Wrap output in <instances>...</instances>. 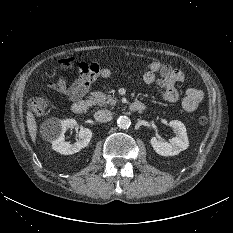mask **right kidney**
<instances>
[{
    "label": "right kidney",
    "instance_id": "ca27d5eb",
    "mask_svg": "<svg viewBox=\"0 0 233 233\" xmlns=\"http://www.w3.org/2000/svg\"><path fill=\"white\" fill-rule=\"evenodd\" d=\"M76 125L75 119L59 120L51 118L43 123V136L52 143L53 150L64 155L74 154L85 148L92 138L91 130L80 126L79 140L74 144L65 142V132Z\"/></svg>",
    "mask_w": 233,
    "mask_h": 233
}]
</instances>
